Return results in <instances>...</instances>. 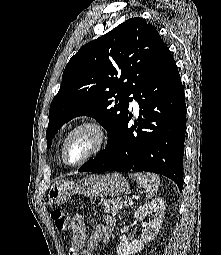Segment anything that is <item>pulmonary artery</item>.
Returning a JSON list of instances; mask_svg holds the SVG:
<instances>
[{
  "label": "pulmonary artery",
  "mask_w": 221,
  "mask_h": 255,
  "mask_svg": "<svg viewBox=\"0 0 221 255\" xmlns=\"http://www.w3.org/2000/svg\"><path fill=\"white\" fill-rule=\"evenodd\" d=\"M132 105H133L135 108H137V106H138L137 101H136V100H133V101H132Z\"/></svg>",
  "instance_id": "e3ab8cb5"
}]
</instances>
